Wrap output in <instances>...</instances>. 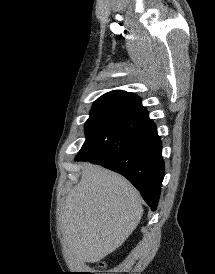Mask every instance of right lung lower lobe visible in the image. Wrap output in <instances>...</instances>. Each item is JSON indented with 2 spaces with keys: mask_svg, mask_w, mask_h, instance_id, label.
Wrapping results in <instances>:
<instances>
[{
  "mask_svg": "<svg viewBox=\"0 0 215 274\" xmlns=\"http://www.w3.org/2000/svg\"><path fill=\"white\" fill-rule=\"evenodd\" d=\"M162 144L153 124L130 146L110 161H98L91 158L77 161H89L100 164L125 176L141 193L147 204L155 210L165 175Z\"/></svg>",
  "mask_w": 215,
  "mask_h": 274,
  "instance_id": "1",
  "label": "right lung lower lobe"
}]
</instances>
